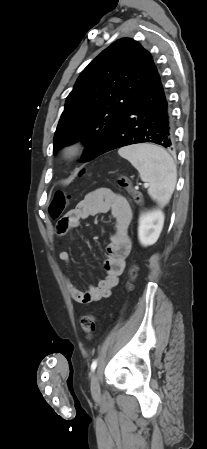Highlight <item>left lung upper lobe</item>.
<instances>
[{"instance_id":"1","label":"left lung upper lobe","mask_w":207,"mask_h":449,"mask_svg":"<svg viewBox=\"0 0 207 449\" xmlns=\"http://www.w3.org/2000/svg\"><path fill=\"white\" fill-rule=\"evenodd\" d=\"M156 66L137 41L124 38L101 52L80 74L58 123L53 152L83 140L92 160L147 86Z\"/></svg>"}]
</instances>
